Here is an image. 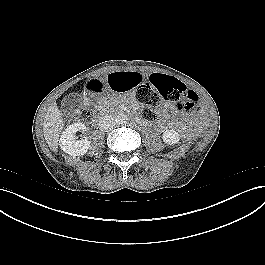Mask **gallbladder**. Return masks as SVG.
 Listing matches in <instances>:
<instances>
[{
	"mask_svg": "<svg viewBox=\"0 0 265 265\" xmlns=\"http://www.w3.org/2000/svg\"><path fill=\"white\" fill-rule=\"evenodd\" d=\"M63 105L67 109V111L73 112L78 109L79 106V97L75 94H69L63 99Z\"/></svg>",
	"mask_w": 265,
	"mask_h": 265,
	"instance_id": "obj_1",
	"label": "gallbladder"
}]
</instances>
